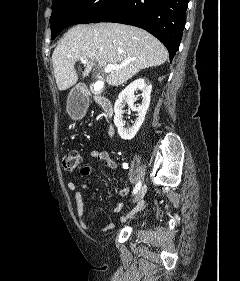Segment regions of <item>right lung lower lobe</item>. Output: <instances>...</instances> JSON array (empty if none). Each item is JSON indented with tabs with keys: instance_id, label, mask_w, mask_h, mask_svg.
I'll return each instance as SVG.
<instances>
[{
	"instance_id": "98d812e1",
	"label": "right lung lower lobe",
	"mask_w": 240,
	"mask_h": 281,
	"mask_svg": "<svg viewBox=\"0 0 240 281\" xmlns=\"http://www.w3.org/2000/svg\"><path fill=\"white\" fill-rule=\"evenodd\" d=\"M188 0H118L97 22H117L147 30L168 49L170 60L179 48Z\"/></svg>"
}]
</instances>
